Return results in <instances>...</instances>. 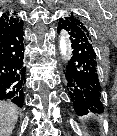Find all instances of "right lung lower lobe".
<instances>
[{
  "mask_svg": "<svg viewBox=\"0 0 117 136\" xmlns=\"http://www.w3.org/2000/svg\"><path fill=\"white\" fill-rule=\"evenodd\" d=\"M23 21L20 20L0 40V100H10L23 107L26 82L24 66Z\"/></svg>",
  "mask_w": 117,
  "mask_h": 136,
  "instance_id": "98d812e1",
  "label": "right lung lower lobe"
}]
</instances>
